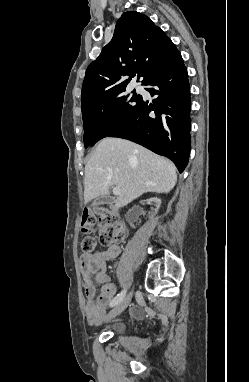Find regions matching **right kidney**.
<instances>
[{
    "label": "right kidney",
    "mask_w": 249,
    "mask_h": 382,
    "mask_svg": "<svg viewBox=\"0 0 249 382\" xmlns=\"http://www.w3.org/2000/svg\"><path fill=\"white\" fill-rule=\"evenodd\" d=\"M152 204L156 206V208L154 209L155 212L151 213V216H154L161 205V201L157 197L144 199L143 205L145 208H150ZM145 208H143L141 204H134L133 207H130V210H127L125 217L127 224H130L131 230H136L139 224L142 223V218L138 217L137 214H139V212L142 214L145 213Z\"/></svg>",
    "instance_id": "ca27d5eb"
}]
</instances>
